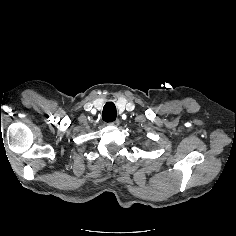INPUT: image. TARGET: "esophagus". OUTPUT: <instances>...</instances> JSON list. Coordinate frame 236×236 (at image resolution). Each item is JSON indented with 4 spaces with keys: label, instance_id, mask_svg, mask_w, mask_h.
<instances>
[{
    "label": "esophagus",
    "instance_id": "esophagus-1",
    "mask_svg": "<svg viewBox=\"0 0 236 236\" xmlns=\"http://www.w3.org/2000/svg\"><path fill=\"white\" fill-rule=\"evenodd\" d=\"M110 124H111L112 126L117 127V126H119L120 121H119L118 119H116L115 121L111 122Z\"/></svg>",
    "mask_w": 236,
    "mask_h": 236
}]
</instances>
